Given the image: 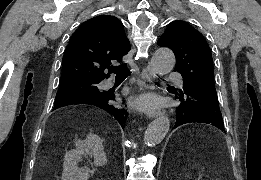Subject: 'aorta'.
Here are the masks:
<instances>
[{
    "label": "aorta",
    "mask_w": 261,
    "mask_h": 180,
    "mask_svg": "<svg viewBox=\"0 0 261 180\" xmlns=\"http://www.w3.org/2000/svg\"><path fill=\"white\" fill-rule=\"evenodd\" d=\"M174 53L168 48H159L152 56L151 66L155 73L165 75L175 66ZM170 120L167 117H159L149 124L144 140L147 146L153 147L159 144L169 131Z\"/></svg>",
    "instance_id": "obj_1"
}]
</instances>
